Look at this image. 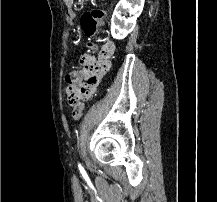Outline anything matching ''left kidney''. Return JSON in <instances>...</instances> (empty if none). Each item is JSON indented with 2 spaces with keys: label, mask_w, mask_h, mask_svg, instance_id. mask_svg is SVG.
Wrapping results in <instances>:
<instances>
[{
  "label": "left kidney",
  "mask_w": 217,
  "mask_h": 202,
  "mask_svg": "<svg viewBox=\"0 0 217 202\" xmlns=\"http://www.w3.org/2000/svg\"><path fill=\"white\" fill-rule=\"evenodd\" d=\"M144 6V0H120L111 18V36L115 40H124L136 26V20L140 16ZM129 16V18H126Z\"/></svg>",
  "instance_id": "obj_1"
}]
</instances>
